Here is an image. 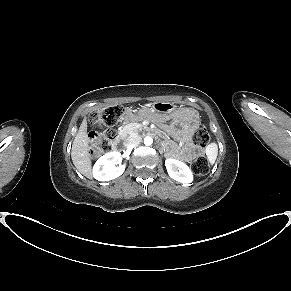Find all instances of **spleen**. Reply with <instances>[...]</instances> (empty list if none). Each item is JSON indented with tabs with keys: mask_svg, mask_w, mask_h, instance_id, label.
Returning <instances> with one entry per match:
<instances>
[{
	"mask_svg": "<svg viewBox=\"0 0 291 291\" xmlns=\"http://www.w3.org/2000/svg\"><path fill=\"white\" fill-rule=\"evenodd\" d=\"M218 146L216 143H211L206 147V155L211 164H213L217 158Z\"/></svg>",
	"mask_w": 291,
	"mask_h": 291,
	"instance_id": "1",
	"label": "spleen"
}]
</instances>
